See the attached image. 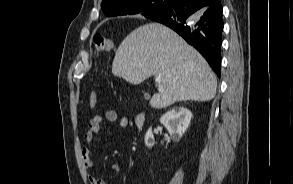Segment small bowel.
I'll list each match as a JSON object with an SVG mask.
<instances>
[{
  "instance_id": "small-bowel-1",
  "label": "small bowel",
  "mask_w": 293,
  "mask_h": 184,
  "mask_svg": "<svg viewBox=\"0 0 293 184\" xmlns=\"http://www.w3.org/2000/svg\"><path fill=\"white\" fill-rule=\"evenodd\" d=\"M104 122L115 123L119 127H126L128 120L126 117L119 115L116 111L108 110L103 115H95L88 122V130L84 134L85 145L81 149L84 166L88 169L92 166L90 158L89 144L93 141L95 135L101 130ZM111 169L116 173L121 171L118 164L112 165ZM89 184H107L104 180L98 179L94 176H88Z\"/></svg>"
}]
</instances>
